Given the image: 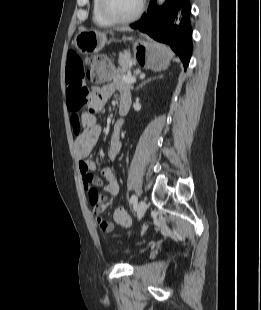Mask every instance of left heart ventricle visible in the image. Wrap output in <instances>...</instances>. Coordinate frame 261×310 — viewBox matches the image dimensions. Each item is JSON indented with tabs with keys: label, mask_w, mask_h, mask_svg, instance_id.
Masks as SVG:
<instances>
[{
	"label": "left heart ventricle",
	"mask_w": 261,
	"mask_h": 310,
	"mask_svg": "<svg viewBox=\"0 0 261 310\" xmlns=\"http://www.w3.org/2000/svg\"><path fill=\"white\" fill-rule=\"evenodd\" d=\"M140 4V0H107L109 11L118 17H128L134 14Z\"/></svg>",
	"instance_id": "obj_1"
}]
</instances>
